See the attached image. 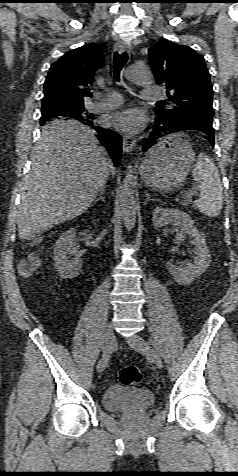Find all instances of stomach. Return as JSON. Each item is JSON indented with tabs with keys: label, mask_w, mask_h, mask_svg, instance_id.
I'll list each match as a JSON object with an SVG mask.
<instances>
[{
	"label": "stomach",
	"mask_w": 238,
	"mask_h": 476,
	"mask_svg": "<svg viewBox=\"0 0 238 476\" xmlns=\"http://www.w3.org/2000/svg\"><path fill=\"white\" fill-rule=\"evenodd\" d=\"M195 162V153L180 134L169 135L153 146L145 156L140 174L145 184L160 192L175 190Z\"/></svg>",
	"instance_id": "0dacf381"
}]
</instances>
